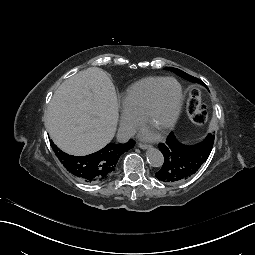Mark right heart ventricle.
<instances>
[{
	"instance_id": "e07e8e85",
	"label": "right heart ventricle",
	"mask_w": 255,
	"mask_h": 255,
	"mask_svg": "<svg viewBox=\"0 0 255 255\" xmlns=\"http://www.w3.org/2000/svg\"><path fill=\"white\" fill-rule=\"evenodd\" d=\"M164 80L147 77L130 85L120 99L123 110L139 119L146 109L153 90Z\"/></svg>"
}]
</instances>
